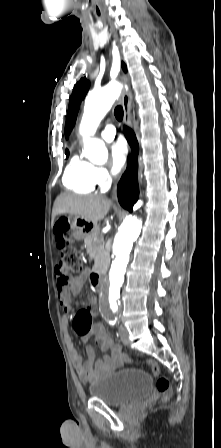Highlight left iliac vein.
Listing matches in <instances>:
<instances>
[{
    "instance_id": "1",
    "label": "left iliac vein",
    "mask_w": 221,
    "mask_h": 448,
    "mask_svg": "<svg viewBox=\"0 0 221 448\" xmlns=\"http://www.w3.org/2000/svg\"><path fill=\"white\" fill-rule=\"evenodd\" d=\"M119 333H120V338H121V341L123 342V344L129 345L128 331L124 325H121L119 327Z\"/></svg>"
}]
</instances>
